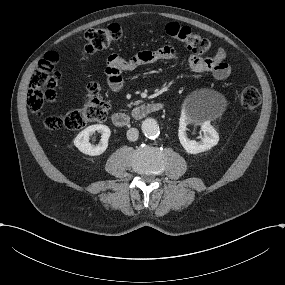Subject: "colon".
Listing matches in <instances>:
<instances>
[{
	"mask_svg": "<svg viewBox=\"0 0 285 285\" xmlns=\"http://www.w3.org/2000/svg\"><path fill=\"white\" fill-rule=\"evenodd\" d=\"M164 33L177 41L183 42L190 51L196 54L210 52V41L195 33L190 27L171 22L163 26ZM122 35L118 24L89 29L84 34L83 54H92L114 44ZM59 55L47 53L34 71L27 96L30 110L42 118L43 124L50 130H79L86 125L105 120L110 109L109 103L103 99L100 87L95 82L87 84V99L79 108L64 115L50 114L43 116L42 108L47 102L54 100L55 88L60 79L56 69ZM261 96L257 88L246 87L240 94V103L247 110H254L260 104Z\"/></svg>",
	"mask_w": 285,
	"mask_h": 285,
	"instance_id": "5ec220e1",
	"label": "colon"
}]
</instances>
